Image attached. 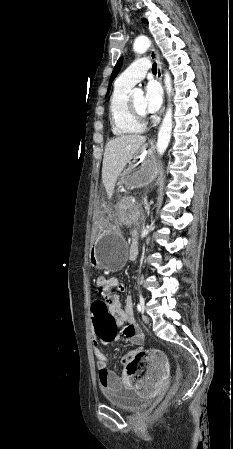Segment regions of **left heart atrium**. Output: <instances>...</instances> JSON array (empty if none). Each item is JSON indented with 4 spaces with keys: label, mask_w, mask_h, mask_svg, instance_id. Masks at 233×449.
<instances>
[{
    "label": "left heart atrium",
    "mask_w": 233,
    "mask_h": 449,
    "mask_svg": "<svg viewBox=\"0 0 233 449\" xmlns=\"http://www.w3.org/2000/svg\"><path fill=\"white\" fill-rule=\"evenodd\" d=\"M162 104V89L155 81H150L146 85L144 95V107L147 113H155Z\"/></svg>",
    "instance_id": "39dd6f15"
}]
</instances>
